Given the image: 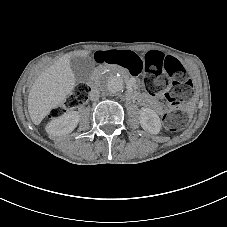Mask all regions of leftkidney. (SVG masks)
Here are the masks:
<instances>
[{
    "instance_id": "obj_1",
    "label": "left kidney",
    "mask_w": 227,
    "mask_h": 227,
    "mask_svg": "<svg viewBox=\"0 0 227 227\" xmlns=\"http://www.w3.org/2000/svg\"><path fill=\"white\" fill-rule=\"evenodd\" d=\"M141 126L152 134H157L160 131V119L155 111L149 108H142L140 110Z\"/></svg>"
}]
</instances>
